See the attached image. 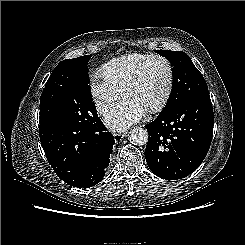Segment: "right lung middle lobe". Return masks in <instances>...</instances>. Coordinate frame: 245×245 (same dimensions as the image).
I'll use <instances>...</instances> for the list:
<instances>
[{
  "label": "right lung middle lobe",
  "instance_id": "1",
  "mask_svg": "<svg viewBox=\"0 0 245 245\" xmlns=\"http://www.w3.org/2000/svg\"><path fill=\"white\" fill-rule=\"evenodd\" d=\"M91 55L61 61L40 98V123L67 122L89 127L98 115L91 99L88 61Z\"/></svg>",
  "mask_w": 245,
  "mask_h": 245
}]
</instances>
